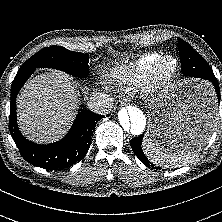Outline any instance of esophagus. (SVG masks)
Returning <instances> with one entry per match:
<instances>
[{"label": "esophagus", "mask_w": 222, "mask_h": 222, "mask_svg": "<svg viewBox=\"0 0 222 222\" xmlns=\"http://www.w3.org/2000/svg\"><path fill=\"white\" fill-rule=\"evenodd\" d=\"M126 104V101H125V99H120V100H118L117 102H116V104H115V108H120L121 106H124Z\"/></svg>", "instance_id": "esophagus-1"}]
</instances>
